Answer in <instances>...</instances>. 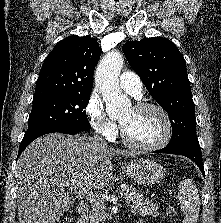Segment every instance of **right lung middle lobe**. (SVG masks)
I'll return each instance as SVG.
<instances>
[{"label":"right lung middle lobe","instance_id":"dd1d6c3e","mask_svg":"<svg viewBox=\"0 0 221 223\" xmlns=\"http://www.w3.org/2000/svg\"><path fill=\"white\" fill-rule=\"evenodd\" d=\"M91 93L54 95L33 100L26 133L49 127H68L81 131L91 128L84 108Z\"/></svg>","mask_w":221,"mask_h":223}]
</instances>
